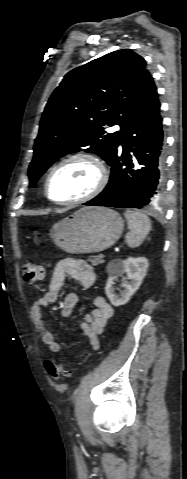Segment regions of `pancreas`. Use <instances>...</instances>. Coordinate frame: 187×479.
Segmentation results:
<instances>
[{
  "label": "pancreas",
  "mask_w": 187,
  "mask_h": 479,
  "mask_svg": "<svg viewBox=\"0 0 187 479\" xmlns=\"http://www.w3.org/2000/svg\"><path fill=\"white\" fill-rule=\"evenodd\" d=\"M90 262L93 266L104 263L103 259L100 256H92Z\"/></svg>",
  "instance_id": "1"
}]
</instances>
